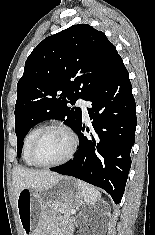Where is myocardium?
Masks as SVG:
<instances>
[{
  "mask_svg": "<svg viewBox=\"0 0 155 235\" xmlns=\"http://www.w3.org/2000/svg\"><path fill=\"white\" fill-rule=\"evenodd\" d=\"M52 130H60V131L64 132L69 137L70 150H69L68 154L63 159H61L57 162H53V163L38 162L35 158V149H36L38 143L41 141V139L48 132H50ZM77 148H78V137H77L76 133L74 132V130L64 123L55 122V123H51L47 126H44L43 129L37 134V136L35 137V139L33 140L32 144L30 146L29 157H30V160L32 161V163L36 166L45 167V168L58 167V166L66 164L70 160H72V158L74 157V155L77 151Z\"/></svg>",
  "mask_w": 155,
  "mask_h": 235,
  "instance_id": "f54148a6",
  "label": "myocardium"
}]
</instances>
